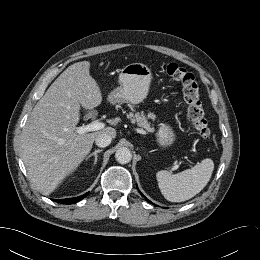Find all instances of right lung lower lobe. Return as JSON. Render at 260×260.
Returning a JSON list of instances; mask_svg holds the SVG:
<instances>
[{
  "mask_svg": "<svg viewBox=\"0 0 260 260\" xmlns=\"http://www.w3.org/2000/svg\"><path fill=\"white\" fill-rule=\"evenodd\" d=\"M88 195V193L79 196V197H75V198H69V199H60V200H55L58 203H62V204H74L78 201H80L81 199H83L84 197H86Z\"/></svg>",
  "mask_w": 260,
  "mask_h": 260,
  "instance_id": "right-lung-lower-lobe-1",
  "label": "right lung lower lobe"
}]
</instances>
